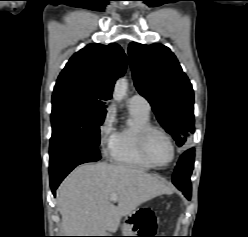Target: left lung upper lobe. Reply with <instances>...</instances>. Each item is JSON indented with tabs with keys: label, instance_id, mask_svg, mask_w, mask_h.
I'll return each instance as SVG.
<instances>
[{
	"label": "left lung upper lobe",
	"instance_id": "5c2ea615",
	"mask_svg": "<svg viewBox=\"0 0 248 237\" xmlns=\"http://www.w3.org/2000/svg\"><path fill=\"white\" fill-rule=\"evenodd\" d=\"M128 54L136 89L149 101L159 123L182 146L195 131L194 95L177 58L162 44L132 42Z\"/></svg>",
	"mask_w": 248,
	"mask_h": 237
}]
</instances>
